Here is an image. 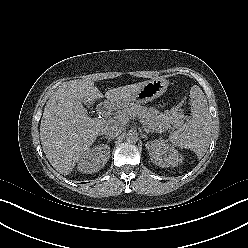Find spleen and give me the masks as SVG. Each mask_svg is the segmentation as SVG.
<instances>
[{
    "label": "spleen",
    "instance_id": "spleen-1",
    "mask_svg": "<svg viewBox=\"0 0 248 248\" xmlns=\"http://www.w3.org/2000/svg\"><path fill=\"white\" fill-rule=\"evenodd\" d=\"M191 118L168 140L175 146L191 149L201 158L205 155L211 136V115L205 95L201 88L194 85L190 90Z\"/></svg>",
    "mask_w": 248,
    "mask_h": 248
}]
</instances>
